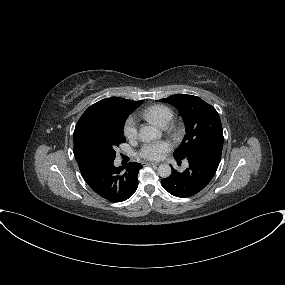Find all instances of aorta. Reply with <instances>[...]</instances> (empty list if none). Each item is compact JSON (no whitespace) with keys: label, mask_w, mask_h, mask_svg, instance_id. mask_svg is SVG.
<instances>
[{"label":"aorta","mask_w":285,"mask_h":285,"mask_svg":"<svg viewBox=\"0 0 285 285\" xmlns=\"http://www.w3.org/2000/svg\"><path fill=\"white\" fill-rule=\"evenodd\" d=\"M139 136L142 140L150 141L161 137V132L154 126L148 125L140 129ZM171 167L168 164H161L158 167V175L167 178L171 175Z\"/></svg>","instance_id":"762f6f07"}]
</instances>
